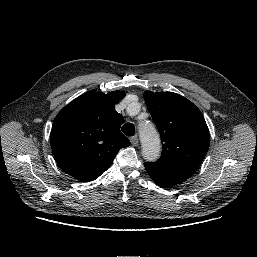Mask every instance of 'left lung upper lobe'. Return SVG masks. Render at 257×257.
I'll list each match as a JSON object with an SVG mask.
<instances>
[{
	"mask_svg": "<svg viewBox=\"0 0 257 257\" xmlns=\"http://www.w3.org/2000/svg\"><path fill=\"white\" fill-rule=\"evenodd\" d=\"M145 103L163 143L154 168L190 178L204 159L210 143L208 126L201 111L185 97L145 91Z\"/></svg>",
	"mask_w": 257,
	"mask_h": 257,
	"instance_id": "5c2ea615",
	"label": "left lung upper lobe"
}]
</instances>
